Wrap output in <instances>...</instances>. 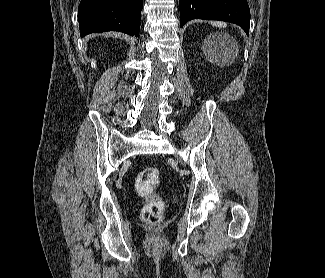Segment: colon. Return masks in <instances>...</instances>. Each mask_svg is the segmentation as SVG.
<instances>
[{"mask_svg": "<svg viewBox=\"0 0 325 278\" xmlns=\"http://www.w3.org/2000/svg\"><path fill=\"white\" fill-rule=\"evenodd\" d=\"M159 180L160 171L155 167L145 168L136 179L138 193L147 200L142 210V220L150 225H158L163 217L164 202L156 192Z\"/></svg>", "mask_w": 325, "mask_h": 278, "instance_id": "obj_1", "label": "colon"}]
</instances>
